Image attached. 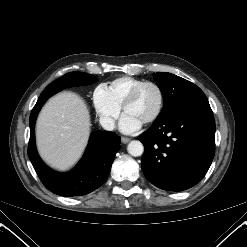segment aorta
<instances>
[{"label": "aorta", "instance_id": "1", "mask_svg": "<svg viewBox=\"0 0 247 247\" xmlns=\"http://www.w3.org/2000/svg\"><path fill=\"white\" fill-rule=\"evenodd\" d=\"M127 151L130 155L138 157L143 154L144 147L140 141L133 140L128 144Z\"/></svg>", "mask_w": 247, "mask_h": 247}]
</instances>
